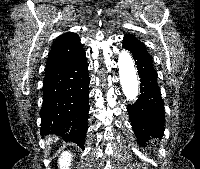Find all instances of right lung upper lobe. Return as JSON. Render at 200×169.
Here are the masks:
<instances>
[{
	"mask_svg": "<svg viewBox=\"0 0 200 169\" xmlns=\"http://www.w3.org/2000/svg\"><path fill=\"white\" fill-rule=\"evenodd\" d=\"M83 52L79 36L72 32L65 33L55 40L48 56L46 69L68 64Z\"/></svg>",
	"mask_w": 200,
	"mask_h": 169,
	"instance_id": "obj_1",
	"label": "right lung upper lobe"
}]
</instances>
